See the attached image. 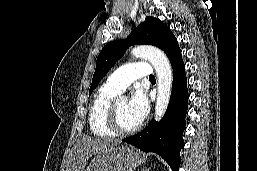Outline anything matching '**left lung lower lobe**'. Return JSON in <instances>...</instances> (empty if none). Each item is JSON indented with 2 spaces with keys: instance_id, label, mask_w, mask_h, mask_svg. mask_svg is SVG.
<instances>
[{
  "instance_id": "obj_1",
  "label": "left lung lower lobe",
  "mask_w": 257,
  "mask_h": 171,
  "mask_svg": "<svg viewBox=\"0 0 257 171\" xmlns=\"http://www.w3.org/2000/svg\"><path fill=\"white\" fill-rule=\"evenodd\" d=\"M173 69V85L168 109L160 122H150L142 132L124 138L144 152L159 154L171 167L178 171L180 150L184 147L182 138L187 113L188 90L185 66L180 49L169 56Z\"/></svg>"
}]
</instances>
